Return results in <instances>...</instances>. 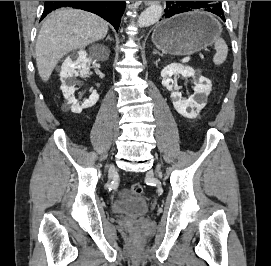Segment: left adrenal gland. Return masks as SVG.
I'll return each mask as SVG.
<instances>
[{
  "label": "left adrenal gland",
  "instance_id": "1",
  "mask_svg": "<svg viewBox=\"0 0 271 266\" xmlns=\"http://www.w3.org/2000/svg\"><path fill=\"white\" fill-rule=\"evenodd\" d=\"M153 54L155 55V54H158L159 56H163L162 54H160V52H158L157 50H154V52H153Z\"/></svg>",
  "mask_w": 271,
  "mask_h": 266
}]
</instances>
